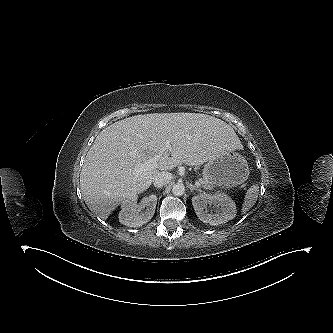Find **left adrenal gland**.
Returning <instances> with one entry per match:
<instances>
[{
    "instance_id": "left-adrenal-gland-1",
    "label": "left adrenal gland",
    "mask_w": 333,
    "mask_h": 333,
    "mask_svg": "<svg viewBox=\"0 0 333 333\" xmlns=\"http://www.w3.org/2000/svg\"><path fill=\"white\" fill-rule=\"evenodd\" d=\"M189 188H190L191 192H193L194 190L202 192V190L199 187L192 185V184L189 185Z\"/></svg>"
}]
</instances>
